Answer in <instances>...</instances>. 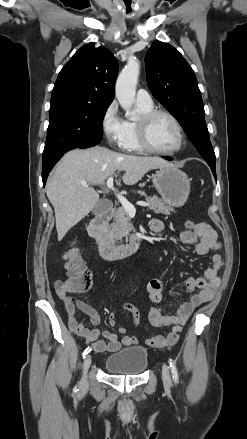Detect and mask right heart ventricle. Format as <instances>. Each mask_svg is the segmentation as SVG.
Instances as JSON below:
<instances>
[{"mask_svg":"<svg viewBox=\"0 0 247 439\" xmlns=\"http://www.w3.org/2000/svg\"><path fill=\"white\" fill-rule=\"evenodd\" d=\"M137 108L140 114L146 113L153 109V105L147 106L137 103ZM121 148L129 152H143V148L139 144L137 135V121H125V135L121 144Z\"/></svg>","mask_w":247,"mask_h":439,"instance_id":"1","label":"right heart ventricle"}]
</instances>
